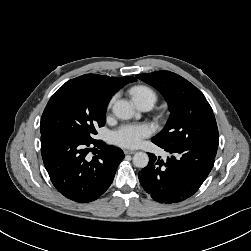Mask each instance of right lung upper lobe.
Returning a JSON list of instances; mask_svg holds the SVG:
<instances>
[{
  "label": "right lung upper lobe",
  "instance_id": "right-lung-upper-lobe-1",
  "mask_svg": "<svg viewBox=\"0 0 251 251\" xmlns=\"http://www.w3.org/2000/svg\"><path fill=\"white\" fill-rule=\"evenodd\" d=\"M70 81H75L90 87L95 88L103 97L110 100L118 90L124 87L129 82L136 81L132 76L122 78L109 77L97 74H85L80 77L74 78Z\"/></svg>",
  "mask_w": 251,
  "mask_h": 251
}]
</instances>
